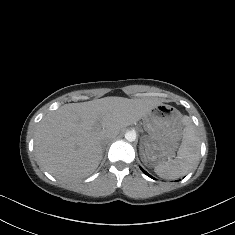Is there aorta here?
I'll return each mask as SVG.
<instances>
[{"label": "aorta", "instance_id": "1", "mask_svg": "<svg viewBox=\"0 0 235 235\" xmlns=\"http://www.w3.org/2000/svg\"><path fill=\"white\" fill-rule=\"evenodd\" d=\"M125 139L129 142H133L136 139V132L135 131H128L125 133Z\"/></svg>", "mask_w": 235, "mask_h": 235}]
</instances>
